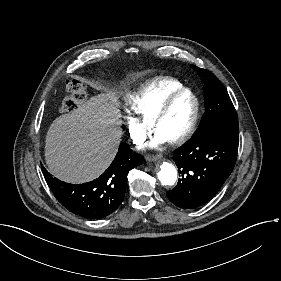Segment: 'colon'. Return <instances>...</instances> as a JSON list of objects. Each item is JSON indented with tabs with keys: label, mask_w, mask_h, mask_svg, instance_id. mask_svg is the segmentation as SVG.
<instances>
[{
	"label": "colon",
	"mask_w": 281,
	"mask_h": 281,
	"mask_svg": "<svg viewBox=\"0 0 281 281\" xmlns=\"http://www.w3.org/2000/svg\"><path fill=\"white\" fill-rule=\"evenodd\" d=\"M65 93V99L61 104L63 114L75 112L87 99L86 88L79 81H69L65 86Z\"/></svg>",
	"instance_id": "5ec220e1"
}]
</instances>
